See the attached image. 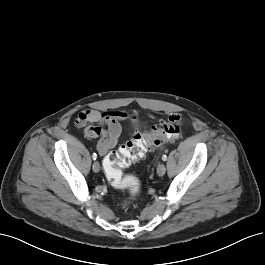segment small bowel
<instances>
[{
	"instance_id": "c3829d8e",
	"label": "small bowel",
	"mask_w": 265,
	"mask_h": 265,
	"mask_svg": "<svg viewBox=\"0 0 265 265\" xmlns=\"http://www.w3.org/2000/svg\"><path fill=\"white\" fill-rule=\"evenodd\" d=\"M180 119L177 115L170 116V120ZM129 120L137 122V115H128L119 110L114 111H98L87 109L81 111L74 120V124L78 128H82L85 136L88 138H99L97 143V151L100 155L115 148L122 134L120 122Z\"/></svg>"
}]
</instances>
